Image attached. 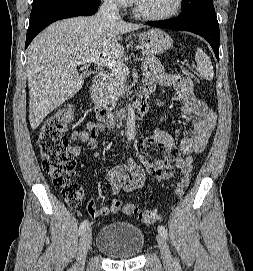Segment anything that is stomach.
Returning <instances> with one entry per match:
<instances>
[{
    "mask_svg": "<svg viewBox=\"0 0 253 271\" xmlns=\"http://www.w3.org/2000/svg\"><path fill=\"white\" fill-rule=\"evenodd\" d=\"M146 51L152 55H160L173 46L172 38L164 31L151 29L138 35Z\"/></svg>",
    "mask_w": 253,
    "mask_h": 271,
    "instance_id": "stomach-1",
    "label": "stomach"
}]
</instances>
